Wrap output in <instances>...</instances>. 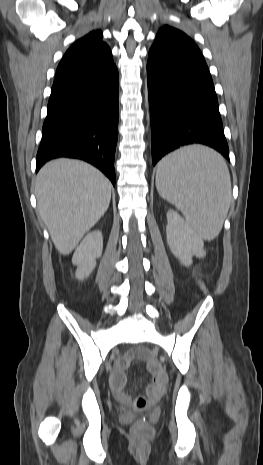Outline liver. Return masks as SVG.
Returning <instances> with one entry per match:
<instances>
[{"instance_id":"6515ba94","label":"liver","mask_w":263,"mask_h":465,"mask_svg":"<svg viewBox=\"0 0 263 465\" xmlns=\"http://www.w3.org/2000/svg\"><path fill=\"white\" fill-rule=\"evenodd\" d=\"M111 182L93 166L73 159L46 163L37 174L38 213L56 249L70 254L105 214Z\"/></svg>"}]
</instances>
